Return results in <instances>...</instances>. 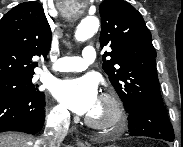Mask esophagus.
I'll return each mask as SVG.
<instances>
[{"label":"esophagus","mask_w":183,"mask_h":147,"mask_svg":"<svg viewBox=\"0 0 183 147\" xmlns=\"http://www.w3.org/2000/svg\"><path fill=\"white\" fill-rule=\"evenodd\" d=\"M75 142L78 146H81V147H84V146H87V142H84L82 140H80L78 137H75Z\"/></svg>","instance_id":"esophagus-1"}]
</instances>
